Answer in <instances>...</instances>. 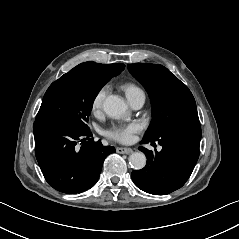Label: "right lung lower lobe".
<instances>
[{"instance_id": "98d812e1", "label": "right lung lower lobe", "mask_w": 239, "mask_h": 239, "mask_svg": "<svg viewBox=\"0 0 239 239\" xmlns=\"http://www.w3.org/2000/svg\"><path fill=\"white\" fill-rule=\"evenodd\" d=\"M33 131L41 171L48 184L62 193L90 189L100 176L104 159L116 152L112 146L94 142L89 128L80 130L62 119L35 120Z\"/></svg>"}]
</instances>
